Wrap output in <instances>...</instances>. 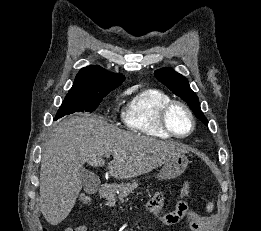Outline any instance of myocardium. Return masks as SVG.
I'll use <instances>...</instances> for the list:
<instances>
[{"instance_id":"obj_1","label":"myocardium","mask_w":261,"mask_h":231,"mask_svg":"<svg viewBox=\"0 0 261 231\" xmlns=\"http://www.w3.org/2000/svg\"><path fill=\"white\" fill-rule=\"evenodd\" d=\"M175 107H181L182 109H184L186 111V113L188 114L190 122H191V128H190L189 132L184 135L176 133L172 129V127L169 123V114H170L171 110ZM160 123H161L163 130L175 138H181V139L187 138L188 136H190L192 134V132L195 129V117H194L192 110L184 102L178 101V100H172L162 108L161 113H160Z\"/></svg>"}]
</instances>
